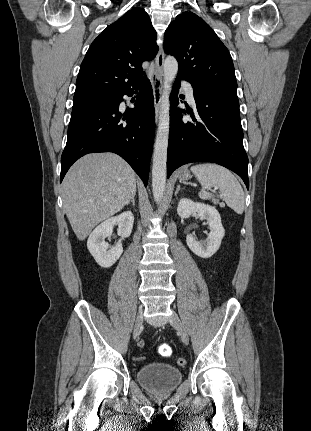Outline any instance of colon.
Instances as JSON below:
<instances>
[{"instance_id": "colon-1", "label": "colon", "mask_w": 311, "mask_h": 431, "mask_svg": "<svg viewBox=\"0 0 311 431\" xmlns=\"http://www.w3.org/2000/svg\"><path fill=\"white\" fill-rule=\"evenodd\" d=\"M144 345H145L144 341H140L138 344L139 348H143ZM159 353L164 357H168L171 355V348L167 344H162L159 347ZM143 359H144V356H141V355L135 357V360L137 361H141ZM177 363L179 366H185L187 361L185 358L181 357L177 360Z\"/></svg>"}]
</instances>
